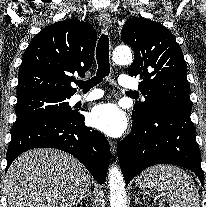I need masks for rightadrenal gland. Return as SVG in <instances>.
<instances>
[{
  "label": "right adrenal gland",
  "instance_id": "right-adrenal-gland-1",
  "mask_svg": "<svg viewBox=\"0 0 206 207\" xmlns=\"http://www.w3.org/2000/svg\"><path fill=\"white\" fill-rule=\"evenodd\" d=\"M90 197V199H92V195H91V190L90 188L87 190V193L84 195L83 199Z\"/></svg>",
  "mask_w": 206,
  "mask_h": 207
}]
</instances>
